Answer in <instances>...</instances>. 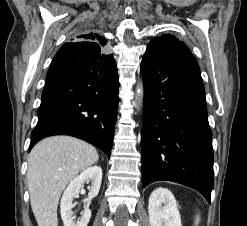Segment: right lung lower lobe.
Masks as SVG:
<instances>
[{
	"label": "right lung lower lobe",
	"instance_id": "1",
	"mask_svg": "<svg viewBox=\"0 0 247 226\" xmlns=\"http://www.w3.org/2000/svg\"><path fill=\"white\" fill-rule=\"evenodd\" d=\"M115 60L99 44L65 43L46 76L30 149L52 135L83 139L110 157L118 108Z\"/></svg>",
	"mask_w": 247,
	"mask_h": 226
}]
</instances>
